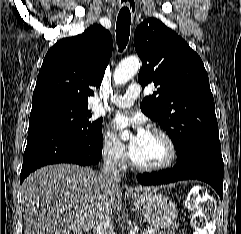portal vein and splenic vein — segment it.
Returning a JSON list of instances; mask_svg holds the SVG:
<instances>
[{
  "instance_id": "obj_1",
  "label": "portal vein and splenic vein",
  "mask_w": 241,
  "mask_h": 234,
  "mask_svg": "<svg viewBox=\"0 0 241 234\" xmlns=\"http://www.w3.org/2000/svg\"><path fill=\"white\" fill-rule=\"evenodd\" d=\"M152 232L151 231H148V232H146V233H144V234H151Z\"/></svg>"
}]
</instances>
